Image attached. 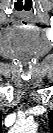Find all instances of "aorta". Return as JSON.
<instances>
[{
  "label": "aorta",
  "instance_id": "1",
  "mask_svg": "<svg viewBox=\"0 0 53 133\" xmlns=\"http://www.w3.org/2000/svg\"><path fill=\"white\" fill-rule=\"evenodd\" d=\"M36 125L32 122H21L16 125V131L21 133H33L36 130Z\"/></svg>",
  "mask_w": 53,
  "mask_h": 133
}]
</instances>
